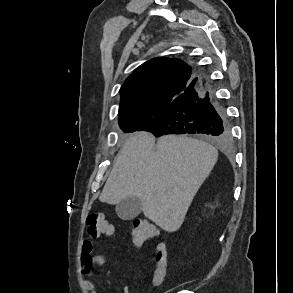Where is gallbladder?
I'll return each instance as SVG.
<instances>
[{"label":"gallbladder","mask_w":293,"mask_h":293,"mask_svg":"<svg viewBox=\"0 0 293 293\" xmlns=\"http://www.w3.org/2000/svg\"><path fill=\"white\" fill-rule=\"evenodd\" d=\"M116 213L122 220H132L142 211V202L140 198L128 196L116 205Z\"/></svg>","instance_id":"gallbladder-1"}]
</instances>
